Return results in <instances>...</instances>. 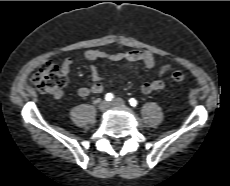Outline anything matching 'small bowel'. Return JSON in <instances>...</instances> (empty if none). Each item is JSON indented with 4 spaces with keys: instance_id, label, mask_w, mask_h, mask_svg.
<instances>
[{
    "instance_id": "1",
    "label": "small bowel",
    "mask_w": 230,
    "mask_h": 186,
    "mask_svg": "<svg viewBox=\"0 0 230 186\" xmlns=\"http://www.w3.org/2000/svg\"><path fill=\"white\" fill-rule=\"evenodd\" d=\"M84 58L88 61L107 60L111 62L125 61L132 69L133 66L140 62L147 68H153L155 66V57L152 52L148 50H132L124 53H107L99 49H89L85 51ZM72 66V59L67 57L63 60L61 69L65 75H69ZM171 69L170 64L163 65L159 71L158 76H164ZM90 74L93 83L89 86H82L78 89V95L81 97H87L91 94H100L104 91L103 77L100 75L96 66L90 67ZM165 84L162 80L157 79L153 81H147L142 84L141 91L144 94H150L155 91L163 90ZM57 98L61 97V93L56 95Z\"/></svg>"
}]
</instances>
